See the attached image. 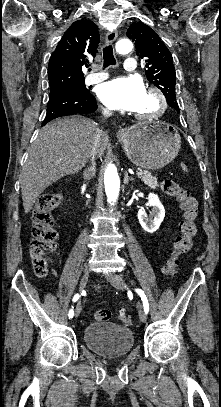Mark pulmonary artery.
<instances>
[{"label":"pulmonary artery","mask_w":221,"mask_h":407,"mask_svg":"<svg viewBox=\"0 0 221 407\" xmlns=\"http://www.w3.org/2000/svg\"><path fill=\"white\" fill-rule=\"evenodd\" d=\"M137 65L134 59V56H128L124 60V71L126 73H134L136 71ZM108 75L106 73H96L91 74L87 78V82L90 84L99 83L105 79H107Z\"/></svg>","instance_id":"1"}]
</instances>
